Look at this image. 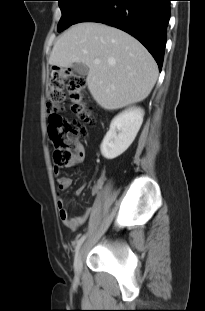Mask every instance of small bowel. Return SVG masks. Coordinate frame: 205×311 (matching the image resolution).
I'll return each mask as SVG.
<instances>
[{"label": "small bowel", "mask_w": 205, "mask_h": 311, "mask_svg": "<svg viewBox=\"0 0 205 311\" xmlns=\"http://www.w3.org/2000/svg\"><path fill=\"white\" fill-rule=\"evenodd\" d=\"M86 159V151L82 145H80L73 153L72 159L68 162V164L65 165L66 168H74L79 167L83 164V162ZM60 169L56 168L55 173L59 174ZM104 181V178H99L97 184L92 188V194L97 195L100 190V186L102 185ZM72 184V180L67 176H60L58 178V188L59 191L64 192ZM83 190V187H80L77 190V193H81ZM58 207H59V216L62 221V223L71 230L78 229L85 221L88 220L92 213V207H87L84 209V211L80 215H70L66 202L64 199L60 198L58 200Z\"/></svg>", "instance_id": "1"}]
</instances>
